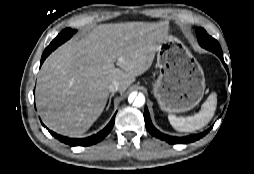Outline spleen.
Returning a JSON list of instances; mask_svg holds the SVG:
<instances>
[{"label": "spleen", "mask_w": 254, "mask_h": 174, "mask_svg": "<svg viewBox=\"0 0 254 174\" xmlns=\"http://www.w3.org/2000/svg\"><path fill=\"white\" fill-rule=\"evenodd\" d=\"M217 106V94L212 92L202 104L199 113L189 117H176L168 115L171 126L180 132H193L206 126L214 116Z\"/></svg>", "instance_id": "spleen-1"}]
</instances>
